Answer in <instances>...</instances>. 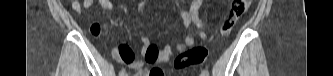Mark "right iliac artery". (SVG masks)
Masks as SVG:
<instances>
[{
    "label": "right iliac artery",
    "instance_id": "obj_1",
    "mask_svg": "<svg viewBox=\"0 0 333 76\" xmlns=\"http://www.w3.org/2000/svg\"><path fill=\"white\" fill-rule=\"evenodd\" d=\"M125 75H126V71L124 69L120 70L119 76H125Z\"/></svg>",
    "mask_w": 333,
    "mask_h": 76
}]
</instances>
